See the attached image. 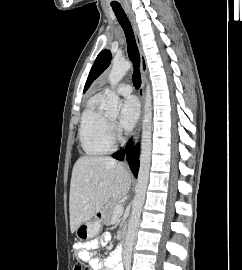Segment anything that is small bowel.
<instances>
[{
	"label": "small bowel",
	"mask_w": 242,
	"mask_h": 270,
	"mask_svg": "<svg viewBox=\"0 0 242 270\" xmlns=\"http://www.w3.org/2000/svg\"><path fill=\"white\" fill-rule=\"evenodd\" d=\"M109 239L110 235L106 233L98 239L82 243L79 246L82 259L88 261L95 270H123L121 266V255L117 252L112 253L104 259L94 257V252L98 248L105 246Z\"/></svg>",
	"instance_id": "c3829d8e"
}]
</instances>
